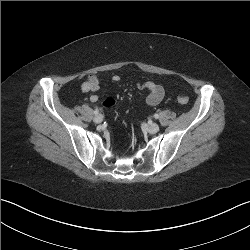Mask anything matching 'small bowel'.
Wrapping results in <instances>:
<instances>
[{
  "label": "small bowel",
  "mask_w": 250,
  "mask_h": 250,
  "mask_svg": "<svg viewBox=\"0 0 250 250\" xmlns=\"http://www.w3.org/2000/svg\"><path fill=\"white\" fill-rule=\"evenodd\" d=\"M122 80L121 76L119 75H114L111 78V81L114 83H118ZM136 84L139 88L141 89H147L148 90V95L146 97V104L149 106H155L159 104L165 94L163 86L147 80V81H140L137 80ZM82 90L84 92H90L89 99L91 102H96L98 100V90H99V81L98 78L94 75H90L87 77L85 82L81 86Z\"/></svg>",
  "instance_id": "small-bowel-1"
}]
</instances>
